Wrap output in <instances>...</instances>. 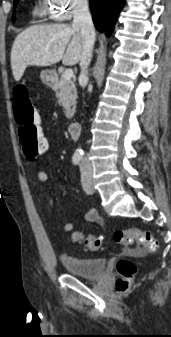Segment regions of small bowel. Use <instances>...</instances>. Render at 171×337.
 I'll return each mask as SVG.
<instances>
[{"label":"small bowel","instance_id":"1","mask_svg":"<svg viewBox=\"0 0 171 337\" xmlns=\"http://www.w3.org/2000/svg\"><path fill=\"white\" fill-rule=\"evenodd\" d=\"M49 144V142H48ZM46 152V151H45ZM37 178L40 182L42 183H46L48 181V174L46 171L44 170H40L38 171L37 173ZM76 193H78L79 191L78 190H75ZM82 217L88 221V222H92V223H98L100 224L101 223V218L98 214V212L95 210V209H90L88 210L87 212H85ZM74 228V225L73 223L69 222V223H65V224H62V225H59L58 226V229L60 231H63V232H70L72 231Z\"/></svg>","mask_w":171,"mask_h":337}]
</instances>
